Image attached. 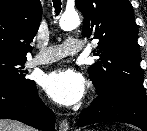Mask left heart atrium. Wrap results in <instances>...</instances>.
<instances>
[{
    "label": "left heart atrium",
    "mask_w": 147,
    "mask_h": 131,
    "mask_svg": "<svg viewBox=\"0 0 147 131\" xmlns=\"http://www.w3.org/2000/svg\"><path fill=\"white\" fill-rule=\"evenodd\" d=\"M43 87L54 101L71 106L84 97L86 80L72 68H59L45 77Z\"/></svg>",
    "instance_id": "obj_1"
}]
</instances>
